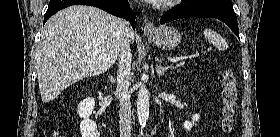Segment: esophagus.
<instances>
[{
  "mask_svg": "<svg viewBox=\"0 0 280 137\" xmlns=\"http://www.w3.org/2000/svg\"><path fill=\"white\" fill-rule=\"evenodd\" d=\"M156 32V28L151 22H147L144 26V33L145 34H152Z\"/></svg>",
  "mask_w": 280,
  "mask_h": 137,
  "instance_id": "esophagus-1",
  "label": "esophagus"
}]
</instances>
